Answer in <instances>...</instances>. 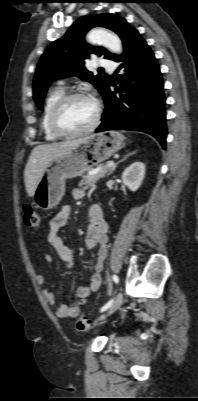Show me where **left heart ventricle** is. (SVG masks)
<instances>
[{
	"mask_svg": "<svg viewBox=\"0 0 198 401\" xmlns=\"http://www.w3.org/2000/svg\"><path fill=\"white\" fill-rule=\"evenodd\" d=\"M96 106L89 99L70 101L60 115L61 126L68 131L83 130L91 125L95 118Z\"/></svg>",
	"mask_w": 198,
	"mask_h": 401,
	"instance_id": "obj_1",
	"label": "left heart ventricle"
}]
</instances>
